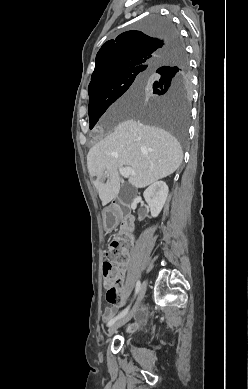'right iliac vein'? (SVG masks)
Segmentation results:
<instances>
[{
	"label": "right iliac vein",
	"instance_id": "obj_1",
	"mask_svg": "<svg viewBox=\"0 0 248 389\" xmlns=\"http://www.w3.org/2000/svg\"><path fill=\"white\" fill-rule=\"evenodd\" d=\"M145 292H146V283L143 282L142 285L140 286L139 295L135 306L126 315L119 318L117 321L113 323V325H111L108 336H111L114 332H116L118 328H120L121 326H123L124 324H126L128 321L131 320V318L135 315L137 311L138 305L144 298Z\"/></svg>",
	"mask_w": 248,
	"mask_h": 389
}]
</instances>
